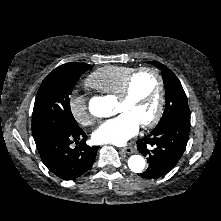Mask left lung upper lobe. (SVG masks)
Segmentation results:
<instances>
[{
    "label": "left lung upper lobe",
    "mask_w": 221,
    "mask_h": 221,
    "mask_svg": "<svg viewBox=\"0 0 221 221\" xmlns=\"http://www.w3.org/2000/svg\"><path fill=\"white\" fill-rule=\"evenodd\" d=\"M150 63L162 70L166 92L165 110L156 127L163 125L173 117L190 115L186 94L176 75L160 62L151 61Z\"/></svg>",
    "instance_id": "left-lung-upper-lobe-1"
}]
</instances>
